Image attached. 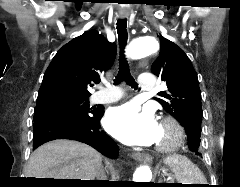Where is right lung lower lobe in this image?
<instances>
[{
	"label": "right lung lower lobe",
	"mask_w": 240,
	"mask_h": 187,
	"mask_svg": "<svg viewBox=\"0 0 240 187\" xmlns=\"http://www.w3.org/2000/svg\"><path fill=\"white\" fill-rule=\"evenodd\" d=\"M94 117L86 120H73L61 115H51L34 123V149L56 139H71L86 143L97 149L103 155L116 159L119 148L116 143L101 131L99 119L104 114L103 107L97 108ZM99 187H108L101 184Z\"/></svg>",
	"instance_id": "obj_1"
}]
</instances>
